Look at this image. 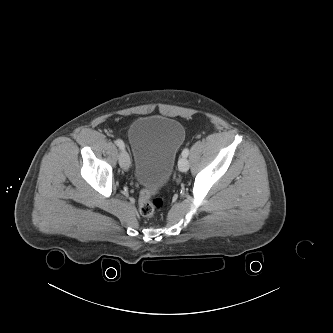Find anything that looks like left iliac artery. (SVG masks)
<instances>
[{"label":"left iliac artery","instance_id":"44dca946","mask_svg":"<svg viewBox=\"0 0 333 333\" xmlns=\"http://www.w3.org/2000/svg\"><path fill=\"white\" fill-rule=\"evenodd\" d=\"M189 155V149L188 148H185L183 151H182V156L183 157H188Z\"/></svg>","mask_w":333,"mask_h":333}]
</instances>
